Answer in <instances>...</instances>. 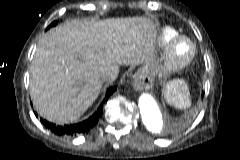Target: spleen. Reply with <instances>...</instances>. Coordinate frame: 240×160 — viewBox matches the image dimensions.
<instances>
[{
	"mask_svg": "<svg viewBox=\"0 0 240 160\" xmlns=\"http://www.w3.org/2000/svg\"><path fill=\"white\" fill-rule=\"evenodd\" d=\"M165 96L168 103L176 108L185 109L191 105L188 85L184 80L177 79L169 82L166 86Z\"/></svg>",
	"mask_w": 240,
	"mask_h": 160,
	"instance_id": "1",
	"label": "spleen"
}]
</instances>
